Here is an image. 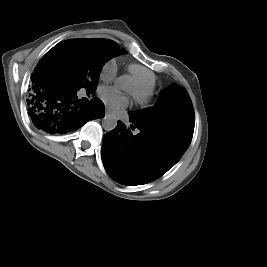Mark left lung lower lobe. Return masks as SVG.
<instances>
[{
  "label": "left lung lower lobe",
  "mask_w": 267,
  "mask_h": 267,
  "mask_svg": "<svg viewBox=\"0 0 267 267\" xmlns=\"http://www.w3.org/2000/svg\"><path fill=\"white\" fill-rule=\"evenodd\" d=\"M133 124L131 129L140 130L137 135L118 121L116 128L104 136L101 153L110 177L127 185L159 178L182 157L190 144L170 133Z\"/></svg>",
  "instance_id": "obj_1"
}]
</instances>
